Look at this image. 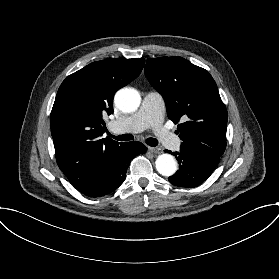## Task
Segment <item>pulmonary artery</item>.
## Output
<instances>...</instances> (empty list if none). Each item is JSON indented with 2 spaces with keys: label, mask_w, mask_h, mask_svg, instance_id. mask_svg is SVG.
I'll use <instances>...</instances> for the list:
<instances>
[{
  "label": "pulmonary artery",
  "mask_w": 279,
  "mask_h": 279,
  "mask_svg": "<svg viewBox=\"0 0 279 279\" xmlns=\"http://www.w3.org/2000/svg\"><path fill=\"white\" fill-rule=\"evenodd\" d=\"M164 114L163 96L159 91L152 90L143 97L141 108L135 117L114 120L111 123V129L114 132H119L132 128L153 127L159 134V142L170 149H175L178 146L176 136L160 128V122L163 120Z\"/></svg>",
  "instance_id": "e3ab8cb5"
}]
</instances>
